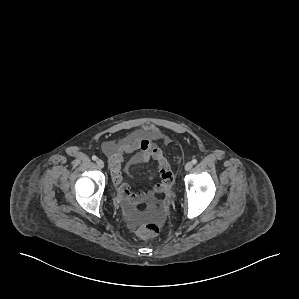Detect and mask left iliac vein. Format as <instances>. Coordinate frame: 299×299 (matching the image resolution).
<instances>
[{"label": "left iliac vein", "mask_w": 299, "mask_h": 299, "mask_svg": "<svg viewBox=\"0 0 299 299\" xmlns=\"http://www.w3.org/2000/svg\"><path fill=\"white\" fill-rule=\"evenodd\" d=\"M192 167H193V163L192 162H187L185 164V170L186 171H190L192 169Z\"/></svg>", "instance_id": "4c4485c4"}]
</instances>
